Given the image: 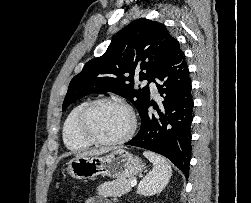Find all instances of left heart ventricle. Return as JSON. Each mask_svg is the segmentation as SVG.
<instances>
[{
  "label": "left heart ventricle",
  "instance_id": "obj_1",
  "mask_svg": "<svg viewBox=\"0 0 251 203\" xmlns=\"http://www.w3.org/2000/svg\"><path fill=\"white\" fill-rule=\"evenodd\" d=\"M130 126V117L120 105L104 103L90 113L87 127L99 139L113 140L123 136Z\"/></svg>",
  "mask_w": 251,
  "mask_h": 203
}]
</instances>
